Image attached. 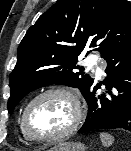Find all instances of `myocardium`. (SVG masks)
Masks as SVG:
<instances>
[{
  "mask_svg": "<svg viewBox=\"0 0 131 151\" xmlns=\"http://www.w3.org/2000/svg\"><path fill=\"white\" fill-rule=\"evenodd\" d=\"M50 95H59L64 98H66L71 106H72V120L70 124L60 133L48 136V137H38L33 135L27 125V117L28 113L31 109V107L40 99L50 96ZM83 117V110H82V105L81 102L78 98V96L71 91L70 89L63 87V86H55V87H49L41 92L37 93L25 106L22 116H21V128L22 132L25 135V137L36 143H52V142H57L60 141L70 134H72L80 125Z\"/></svg>",
  "mask_w": 131,
  "mask_h": 151,
  "instance_id": "myocardium-1",
  "label": "myocardium"
}]
</instances>
